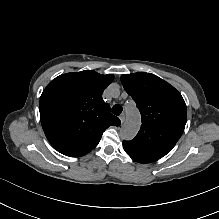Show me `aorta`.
I'll return each mask as SVG.
<instances>
[{"mask_svg":"<svg viewBox=\"0 0 219 219\" xmlns=\"http://www.w3.org/2000/svg\"><path fill=\"white\" fill-rule=\"evenodd\" d=\"M141 124L140 114L134 108L126 111V121L120 129V137L126 140L133 139L139 131Z\"/></svg>","mask_w":219,"mask_h":219,"instance_id":"762f6f07","label":"aorta"}]
</instances>
